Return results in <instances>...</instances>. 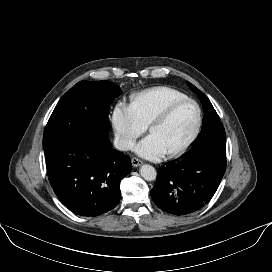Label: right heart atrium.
Returning <instances> with one entry per match:
<instances>
[{
  "instance_id": "right-heart-atrium-1",
  "label": "right heart atrium",
  "mask_w": 272,
  "mask_h": 272,
  "mask_svg": "<svg viewBox=\"0 0 272 272\" xmlns=\"http://www.w3.org/2000/svg\"><path fill=\"white\" fill-rule=\"evenodd\" d=\"M111 120L115 139L124 150L130 149L146 130L129 105L118 104L113 110Z\"/></svg>"
}]
</instances>
